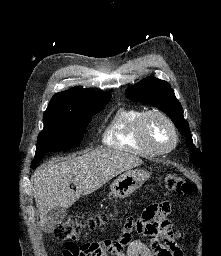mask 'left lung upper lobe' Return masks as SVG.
<instances>
[{"label": "left lung upper lobe", "mask_w": 221, "mask_h": 256, "mask_svg": "<svg viewBox=\"0 0 221 256\" xmlns=\"http://www.w3.org/2000/svg\"><path fill=\"white\" fill-rule=\"evenodd\" d=\"M126 96L133 101L152 104L165 112L174 122L179 132L186 137L187 147L193 150V153L190 154V162L196 167L202 168V153L192 143L191 132L188 122L183 117L182 106L175 97L173 89L168 82L148 76L127 88Z\"/></svg>", "instance_id": "obj_1"}]
</instances>
